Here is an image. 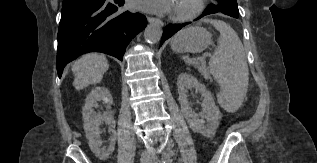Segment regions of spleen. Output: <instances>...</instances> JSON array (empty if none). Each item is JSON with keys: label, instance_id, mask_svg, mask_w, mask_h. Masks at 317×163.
<instances>
[{"label": "spleen", "instance_id": "spleen-1", "mask_svg": "<svg viewBox=\"0 0 317 163\" xmlns=\"http://www.w3.org/2000/svg\"><path fill=\"white\" fill-rule=\"evenodd\" d=\"M219 32L218 47L209 61L210 73L220 85L217 100L227 112L234 113L247 93L249 70L244 48L237 33L224 21L203 20Z\"/></svg>", "mask_w": 317, "mask_h": 163}]
</instances>
